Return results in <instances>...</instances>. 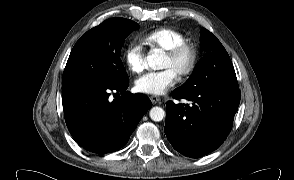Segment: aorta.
<instances>
[{
    "mask_svg": "<svg viewBox=\"0 0 294 180\" xmlns=\"http://www.w3.org/2000/svg\"><path fill=\"white\" fill-rule=\"evenodd\" d=\"M146 63L153 70L163 69V58L155 51H152L147 55ZM149 115L153 121L159 122L165 117V111L161 107L156 106L151 108Z\"/></svg>",
    "mask_w": 294,
    "mask_h": 180,
    "instance_id": "obj_1",
    "label": "aorta"
}]
</instances>
